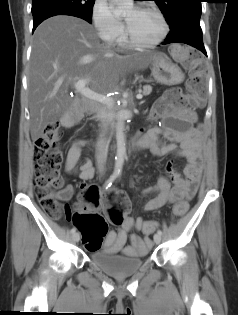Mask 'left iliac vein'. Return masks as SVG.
<instances>
[{"label": "left iliac vein", "mask_w": 238, "mask_h": 315, "mask_svg": "<svg viewBox=\"0 0 238 315\" xmlns=\"http://www.w3.org/2000/svg\"><path fill=\"white\" fill-rule=\"evenodd\" d=\"M153 239H154V242L156 243V244H159L160 242H161V235H159L158 233H156L155 235H154V237H153Z\"/></svg>", "instance_id": "obj_1"}]
</instances>
